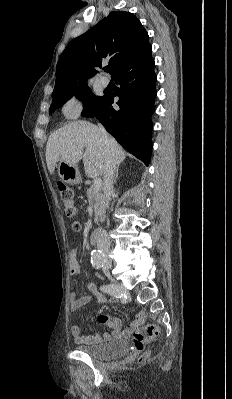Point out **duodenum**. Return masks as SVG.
Masks as SVG:
<instances>
[{"label":"duodenum","instance_id":"1","mask_svg":"<svg viewBox=\"0 0 232 399\" xmlns=\"http://www.w3.org/2000/svg\"><path fill=\"white\" fill-rule=\"evenodd\" d=\"M100 230L94 229L89 235V241L91 244H96L99 239Z\"/></svg>","mask_w":232,"mask_h":399}]
</instances>
